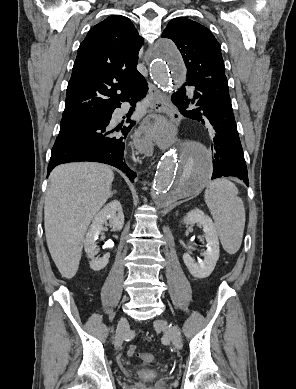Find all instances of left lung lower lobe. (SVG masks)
<instances>
[{"label": "left lung lower lobe", "instance_id": "0a47b994", "mask_svg": "<svg viewBox=\"0 0 296 389\" xmlns=\"http://www.w3.org/2000/svg\"><path fill=\"white\" fill-rule=\"evenodd\" d=\"M184 85L194 86V92L192 99L186 96L184 88L173 95V101L181 114L198 120L214 130L211 145L214 169L211 179L235 176L248 186L247 167L233 114L227 78L218 81L205 78ZM190 102L195 104L197 109L185 110Z\"/></svg>", "mask_w": 296, "mask_h": 389}]
</instances>
